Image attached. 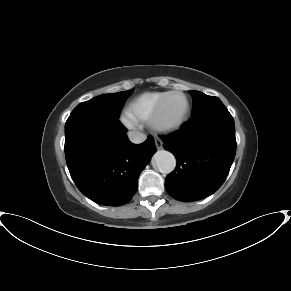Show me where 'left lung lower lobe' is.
Returning a JSON list of instances; mask_svg holds the SVG:
<instances>
[{"label":"left lung lower lobe","instance_id":"obj_1","mask_svg":"<svg viewBox=\"0 0 291 291\" xmlns=\"http://www.w3.org/2000/svg\"><path fill=\"white\" fill-rule=\"evenodd\" d=\"M162 141L177 160L165 179L166 191L179 201H197L217 191L229 173L236 152L234 120L220 105L192 117Z\"/></svg>","mask_w":291,"mask_h":291}]
</instances>
